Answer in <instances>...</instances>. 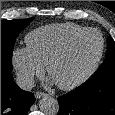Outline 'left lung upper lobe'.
I'll use <instances>...</instances> for the list:
<instances>
[{
    "instance_id": "obj_1",
    "label": "left lung upper lobe",
    "mask_w": 115,
    "mask_h": 115,
    "mask_svg": "<svg viewBox=\"0 0 115 115\" xmlns=\"http://www.w3.org/2000/svg\"><path fill=\"white\" fill-rule=\"evenodd\" d=\"M109 75H115V41L111 36L107 40V53L104 62L88 80H95Z\"/></svg>"
}]
</instances>
